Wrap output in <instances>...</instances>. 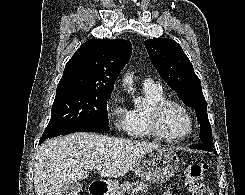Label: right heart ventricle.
<instances>
[{
  "label": "right heart ventricle",
  "mask_w": 245,
  "mask_h": 195,
  "mask_svg": "<svg viewBox=\"0 0 245 195\" xmlns=\"http://www.w3.org/2000/svg\"><path fill=\"white\" fill-rule=\"evenodd\" d=\"M146 98V105L134 107L130 110V130L128 135L133 138H145L153 136L148 125V113L156 103L167 99L162 87L143 88Z\"/></svg>",
  "instance_id": "e07e8e85"
}]
</instances>
